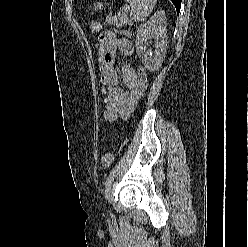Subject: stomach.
Masks as SVG:
<instances>
[{"label": "stomach", "mask_w": 248, "mask_h": 247, "mask_svg": "<svg viewBox=\"0 0 248 247\" xmlns=\"http://www.w3.org/2000/svg\"><path fill=\"white\" fill-rule=\"evenodd\" d=\"M103 7H104V5H103V3H96V4H94V6H93V8L94 9H97V10H102L103 9Z\"/></svg>", "instance_id": "1"}]
</instances>
